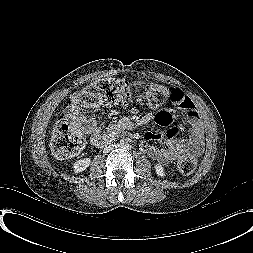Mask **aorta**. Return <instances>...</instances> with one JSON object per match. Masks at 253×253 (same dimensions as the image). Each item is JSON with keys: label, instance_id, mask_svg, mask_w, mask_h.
<instances>
[{"label": "aorta", "instance_id": "762f6f07", "mask_svg": "<svg viewBox=\"0 0 253 253\" xmlns=\"http://www.w3.org/2000/svg\"><path fill=\"white\" fill-rule=\"evenodd\" d=\"M129 145V142L126 139L120 141V146L126 148Z\"/></svg>", "mask_w": 253, "mask_h": 253}]
</instances>
